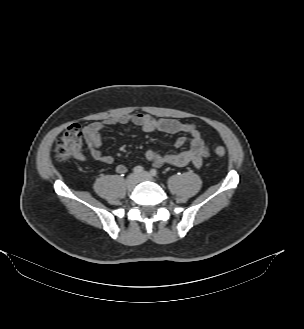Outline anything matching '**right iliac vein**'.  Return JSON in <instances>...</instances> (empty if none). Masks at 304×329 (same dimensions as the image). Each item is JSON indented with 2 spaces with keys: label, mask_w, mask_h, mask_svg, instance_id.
I'll return each mask as SVG.
<instances>
[{
  "label": "right iliac vein",
  "mask_w": 304,
  "mask_h": 329,
  "mask_svg": "<svg viewBox=\"0 0 304 329\" xmlns=\"http://www.w3.org/2000/svg\"><path fill=\"white\" fill-rule=\"evenodd\" d=\"M137 183H138L137 176L135 174H131L127 177L125 185L128 190H132Z\"/></svg>",
  "instance_id": "63e3f726"
}]
</instances>
